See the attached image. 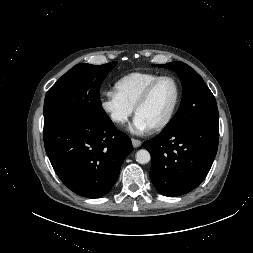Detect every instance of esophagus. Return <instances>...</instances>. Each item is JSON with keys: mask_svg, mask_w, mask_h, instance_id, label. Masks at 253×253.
I'll use <instances>...</instances> for the list:
<instances>
[{"mask_svg": "<svg viewBox=\"0 0 253 253\" xmlns=\"http://www.w3.org/2000/svg\"><path fill=\"white\" fill-rule=\"evenodd\" d=\"M131 142H132L133 147H135V148L140 147L142 144V142L140 140L134 139V138L131 139Z\"/></svg>", "mask_w": 253, "mask_h": 253, "instance_id": "34e87169", "label": "esophagus"}]
</instances>
